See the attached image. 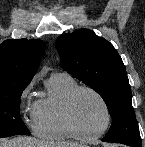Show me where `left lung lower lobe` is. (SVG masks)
Segmentation results:
<instances>
[{"instance_id":"left-lung-lower-lobe-1","label":"left lung lower lobe","mask_w":145,"mask_h":147,"mask_svg":"<svg viewBox=\"0 0 145 147\" xmlns=\"http://www.w3.org/2000/svg\"><path fill=\"white\" fill-rule=\"evenodd\" d=\"M102 141L107 142V141H105V139H104V138L102 139ZM125 145H126V144H125ZM128 146H130V145H128ZM132 147H136V146H132Z\"/></svg>"}]
</instances>
